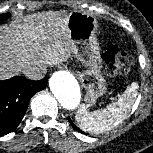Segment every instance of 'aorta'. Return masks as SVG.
I'll return each mask as SVG.
<instances>
[{
	"label": "aorta",
	"mask_w": 153,
	"mask_h": 153,
	"mask_svg": "<svg viewBox=\"0 0 153 153\" xmlns=\"http://www.w3.org/2000/svg\"><path fill=\"white\" fill-rule=\"evenodd\" d=\"M49 86L63 108L73 110L77 107L81 99V92L73 75L66 72L56 73L51 77Z\"/></svg>",
	"instance_id": "762f6f07"
}]
</instances>
